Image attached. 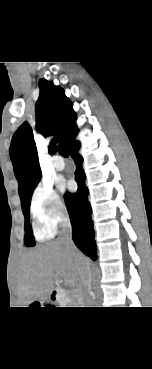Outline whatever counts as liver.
Returning a JSON list of instances; mask_svg holds the SVG:
<instances>
[{
    "label": "liver",
    "instance_id": "1",
    "mask_svg": "<svg viewBox=\"0 0 152 369\" xmlns=\"http://www.w3.org/2000/svg\"><path fill=\"white\" fill-rule=\"evenodd\" d=\"M81 262L88 263L78 250L75 254L54 241L24 254L17 277V289L22 305L49 297L58 281L63 279L69 286L81 287Z\"/></svg>",
    "mask_w": 152,
    "mask_h": 369
}]
</instances>
